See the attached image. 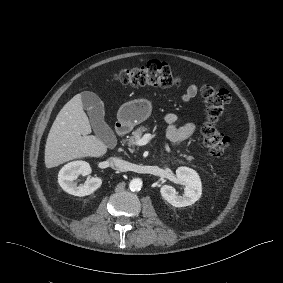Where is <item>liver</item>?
<instances>
[{"label": "liver", "mask_w": 283, "mask_h": 283, "mask_svg": "<svg viewBox=\"0 0 283 283\" xmlns=\"http://www.w3.org/2000/svg\"><path fill=\"white\" fill-rule=\"evenodd\" d=\"M91 126L83 110L81 94H76L58 113L45 145V165L56 167L82 157H100L107 146L91 133Z\"/></svg>", "instance_id": "obj_1"}]
</instances>
